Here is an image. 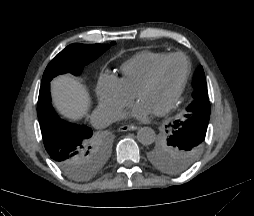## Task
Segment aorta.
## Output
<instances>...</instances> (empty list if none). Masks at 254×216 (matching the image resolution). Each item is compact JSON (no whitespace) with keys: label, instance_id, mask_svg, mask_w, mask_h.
Wrapping results in <instances>:
<instances>
[{"label":"aorta","instance_id":"762f6f07","mask_svg":"<svg viewBox=\"0 0 254 216\" xmlns=\"http://www.w3.org/2000/svg\"><path fill=\"white\" fill-rule=\"evenodd\" d=\"M155 138V131L150 127H141L137 132V139L143 145L152 144Z\"/></svg>","mask_w":254,"mask_h":216}]
</instances>
